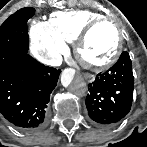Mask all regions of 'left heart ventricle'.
Segmentation results:
<instances>
[{
    "mask_svg": "<svg viewBox=\"0 0 147 147\" xmlns=\"http://www.w3.org/2000/svg\"><path fill=\"white\" fill-rule=\"evenodd\" d=\"M116 44L114 33L109 28H99L91 35L86 55L92 61H99L109 55Z\"/></svg>",
    "mask_w": 147,
    "mask_h": 147,
    "instance_id": "b2bd125f",
    "label": "left heart ventricle"
}]
</instances>
